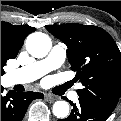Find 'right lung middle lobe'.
I'll use <instances>...</instances> for the list:
<instances>
[{"mask_svg":"<svg viewBox=\"0 0 121 121\" xmlns=\"http://www.w3.org/2000/svg\"><path fill=\"white\" fill-rule=\"evenodd\" d=\"M10 58L11 57L7 54L5 49L1 47V76L5 73L3 67L6 65L7 60Z\"/></svg>","mask_w":121,"mask_h":121,"instance_id":"obj_1","label":"right lung middle lobe"}]
</instances>
